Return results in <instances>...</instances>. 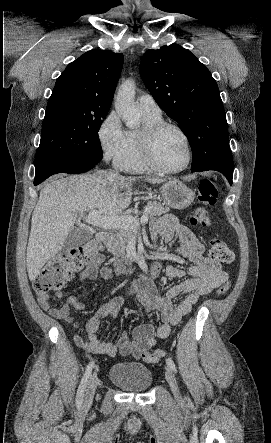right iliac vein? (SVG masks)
Wrapping results in <instances>:
<instances>
[{"label":"right iliac vein","mask_w":271,"mask_h":443,"mask_svg":"<svg viewBox=\"0 0 271 443\" xmlns=\"http://www.w3.org/2000/svg\"><path fill=\"white\" fill-rule=\"evenodd\" d=\"M97 384H98L97 374H93L87 383V388H86L83 403H82L83 409H88L91 406V404L93 402V398H94Z\"/></svg>","instance_id":"1"}]
</instances>
